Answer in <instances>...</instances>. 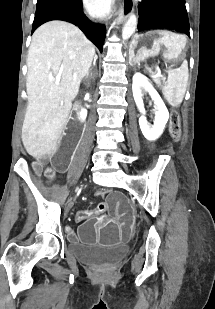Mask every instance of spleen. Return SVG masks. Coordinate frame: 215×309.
<instances>
[{
    "instance_id": "spleen-1",
    "label": "spleen",
    "mask_w": 215,
    "mask_h": 309,
    "mask_svg": "<svg viewBox=\"0 0 215 309\" xmlns=\"http://www.w3.org/2000/svg\"><path fill=\"white\" fill-rule=\"evenodd\" d=\"M146 68L149 72H153L149 66H146ZM185 90L186 82L183 68L168 70L167 84L163 86L162 92L169 104H171V106H179L184 98Z\"/></svg>"
}]
</instances>
